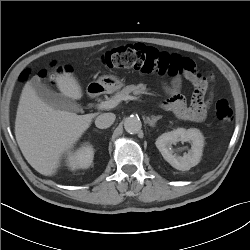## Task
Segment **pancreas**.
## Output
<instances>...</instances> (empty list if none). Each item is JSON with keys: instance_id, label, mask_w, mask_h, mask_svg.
<instances>
[{"instance_id": "pancreas-1", "label": "pancreas", "mask_w": 250, "mask_h": 250, "mask_svg": "<svg viewBox=\"0 0 250 250\" xmlns=\"http://www.w3.org/2000/svg\"><path fill=\"white\" fill-rule=\"evenodd\" d=\"M130 93H133L134 95L149 94L147 92L145 84L128 85L124 87L121 91L115 93V95L112 96V99H122L123 97L129 95Z\"/></svg>"}]
</instances>
